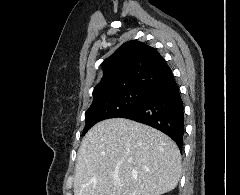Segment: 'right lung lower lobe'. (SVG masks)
Returning a JSON list of instances; mask_svg holds the SVG:
<instances>
[{"mask_svg": "<svg viewBox=\"0 0 240 195\" xmlns=\"http://www.w3.org/2000/svg\"><path fill=\"white\" fill-rule=\"evenodd\" d=\"M119 118L135 120L162 131L173 139L182 151L184 106L173 76L150 88L138 106Z\"/></svg>", "mask_w": 240, "mask_h": 195, "instance_id": "1", "label": "right lung lower lobe"}]
</instances>
